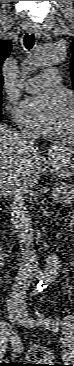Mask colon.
Listing matches in <instances>:
<instances>
[{
    "label": "colon",
    "mask_w": 74,
    "mask_h": 366,
    "mask_svg": "<svg viewBox=\"0 0 74 366\" xmlns=\"http://www.w3.org/2000/svg\"><path fill=\"white\" fill-rule=\"evenodd\" d=\"M29 358L43 360V359H45V356H44L42 350L35 349V350L31 351V353L29 354ZM28 365L29 366H49V364H47V363L28 364Z\"/></svg>",
    "instance_id": "colon-1"
}]
</instances>
